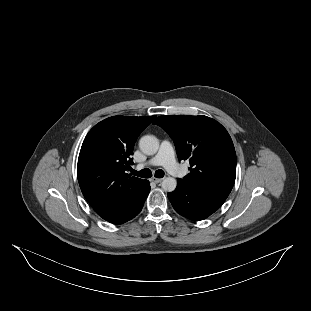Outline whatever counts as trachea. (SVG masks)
Returning a JSON list of instances; mask_svg holds the SVG:
<instances>
[{"label": "trachea", "instance_id": "3493384b", "mask_svg": "<svg viewBox=\"0 0 311 311\" xmlns=\"http://www.w3.org/2000/svg\"><path fill=\"white\" fill-rule=\"evenodd\" d=\"M130 172L132 175H135L141 178H150L152 176V172L148 168L142 169L140 171L130 169ZM164 175H165V172L162 169L156 170L155 172L156 178H162Z\"/></svg>", "mask_w": 311, "mask_h": 311}]
</instances>
